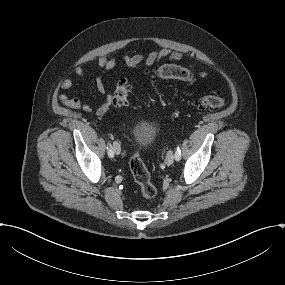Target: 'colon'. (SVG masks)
I'll use <instances>...</instances> for the list:
<instances>
[{
  "label": "colon",
  "instance_id": "5ec220e1",
  "mask_svg": "<svg viewBox=\"0 0 285 285\" xmlns=\"http://www.w3.org/2000/svg\"><path fill=\"white\" fill-rule=\"evenodd\" d=\"M154 77L157 79H174L184 82H192L194 80L193 73L189 69L175 64H166L158 67L154 71ZM132 88V84L127 80L119 81L113 92V105L118 107L127 105ZM195 104L201 110H218L226 105V98L221 92H213L201 96L195 101ZM130 169L135 182L139 186L141 195L145 199L154 198L157 194L156 186L153 184L150 173L138 151H134L130 159Z\"/></svg>",
  "mask_w": 285,
  "mask_h": 285
}]
</instances>
